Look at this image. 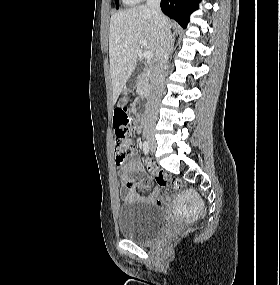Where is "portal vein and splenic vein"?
Masks as SVG:
<instances>
[{
	"label": "portal vein and splenic vein",
	"instance_id": "1",
	"mask_svg": "<svg viewBox=\"0 0 280 285\" xmlns=\"http://www.w3.org/2000/svg\"><path fill=\"white\" fill-rule=\"evenodd\" d=\"M139 44H140L142 47H145V46L147 45V41H146L145 39H140V40H139ZM143 56H144L145 59L150 60V59H152V57H153V52H152V51H145V52L143 53Z\"/></svg>",
	"mask_w": 280,
	"mask_h": 285
}]
</instances>
